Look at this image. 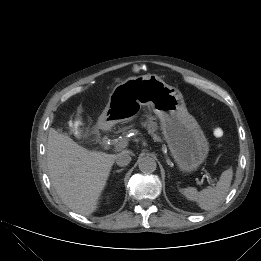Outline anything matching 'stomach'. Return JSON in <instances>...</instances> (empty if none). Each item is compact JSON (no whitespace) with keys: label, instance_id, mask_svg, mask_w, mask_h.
I'll list each match as a JSON object with an SVG mask.
<instances>
[{"label":"stomach","instance_id":"stomach-1","mask_svg":"<svg viewBox=\"0 0 261 261\" xmlns=\"http://www.w3.org/2000/svg\"><path fill=\"white\" fill-rule=\"evenodd\" d=\"M142 107L159 118L164 140L180 171L197 170L208 156V139L187 111L181 92L155 74L129 77L116 85L98 123L110 128L131 121Z\"/></svg>","mask_w":261,"mask_h":261}]
</instances>
